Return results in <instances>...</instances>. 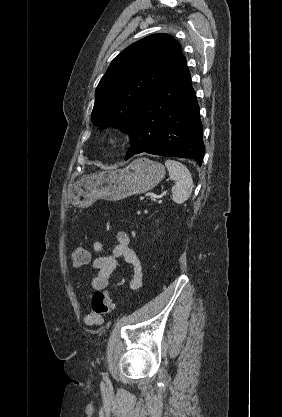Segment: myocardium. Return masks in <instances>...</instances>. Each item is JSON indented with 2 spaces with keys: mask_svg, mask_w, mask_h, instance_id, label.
Wrapping results in <instances>:
<instances>
[{
  "mask_svg": "<svg viewBox=\"0 0 282 417\" xmlns=\"http://www.w3.org/2000/svg\"><path fill=\"white\" fill-rule=\"evenodd\" d=\"M117 140H118V138L116 136H114V137L111 138V141H113V142H115Z\"/></svg>",
  "mask_w": 282,
  "mask_h": 417,
  "instance_id": "myocardium-1",
  "label": "myocardium"
}]
</instances>
